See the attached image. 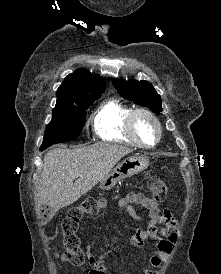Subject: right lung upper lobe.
<instances>
[{"label":"right lung upper lobe","instance_id":"1","mask_svg":"<svg viewBox=\"0 0 221 274\" xmlns=\"http://www.w3.org/2000/svg\"><path fill=\"white\" fill-rule=\"evenodd\" d=\"M105 80L99 75H93L85 69H78L68 75L56 92L57 102L101 94L105 89Z\"/></svg>","mask_w":221,"mask_h":274}]
</instances>
